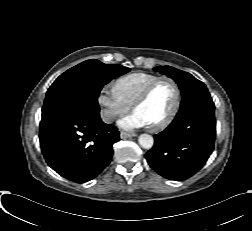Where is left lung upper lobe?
Masks as SVG:
<instances>
[{"instance_id": "1", "label": "left lung upper lobe", "mask_w": 252, "mask_h": 231, "mask_svg": "<svg viewBox=\"0 0 252 231\" xmlns=\"http://www.w3.org/2000/svg\"><path fill=\"white\" fill-rule=\"evenodd\" d=\"M154 70L172 78L181 87L182 101L180 107L197 100H212L205 84L191 74L171 66H158Z\"/></svg>"}]
</instances>
